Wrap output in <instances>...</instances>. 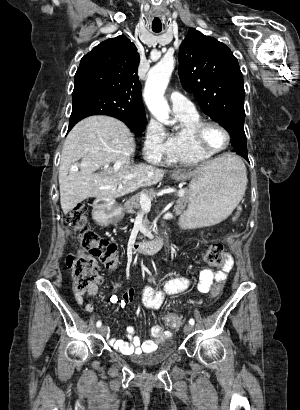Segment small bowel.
I'll return each mask as SVG.
<instances>
[{"instance_id":"obj_1","label":"small bowel","mask_w":300,"mask_h":410,"mask_svg":"<svg viewBox=\"0 0 300 410\" xmlns=\"http://www.w3.org/2000/svg\"><path fill=\"white\" fill-rule=\"evenodd\" d=\"M233 259L230 255L225 254L223 262L218 264V270L205 269L200 272L197 289L201 293H208L215 282H224L228 274L233 268ZM149 280H152L150 278ZM102 276L97 278L88 285L85 290H77L74 294L75 301L79 305L84 304V295L93 297L98 293V286L104 283ZM191 281L188 277H174L168 279L161 291L154 290L149 285L144 286L141 291V301L143 307L151 310H157L160 308L165 295L179 294L190 287ZM135 291L133 288H129L122 296V299L126 303H130L134 299ZM112 302H117V297H111ZM85 311L90 313L93 311V303H87L85 305ZM140 308L136 310V314L140 313ZM107 333L109 332L106 329ZM171 333L164 329L162 326H153L151 329V338L142 340L136 332L133 326L126 328L127 340H119L115 338H109V344L117 351L123 354H137L142 352H149L156 348L158 344L170 337Z\"/></svg>"}]
</instances>
